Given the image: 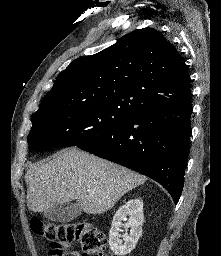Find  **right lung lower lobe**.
I'll list each match as a JSON object with an SVG mask.
<instances>
[{
    "instance_id": "obj_1",
    "label": "right lung lower lobe",
    "mask_w": 221,
    "mask_h": 256,
    "mask_svg": "<svg viewBox=\"0 0 221 256\" xmlns=\"http://www.w3.org/2000/svg\"><path fill=\"white\" fill-rule=\"evenodd\" d=\"M191 113V97L158 105L77 147L152 178L177 204L189 154Z\"/></svg>"
}]
</instances>
